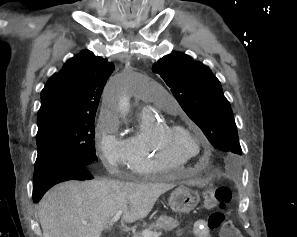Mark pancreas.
I'll return each instance as SVG.
<instances>
[{
  "instance_id": "cf45deb5",
  "label": "pancreas",
  "mask_w": 297,
  "mask_h": 237,
  "mask_svg": "<svg viewBox=\"0 0 297 237\" xmlns=\"http://www.w3.org/2000/svg\"><path fill=\"white\" fill-rule=\"evenodd\" d=\"M179 225L177 220H174L172 217L166 215L160 216L155 223H152L147 231L155 233L157 230H164L165 232L171 231ZM132 237H143L141 234H134Z\"/></svg>"
}]
</instances>
